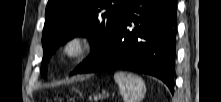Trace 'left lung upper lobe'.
Segmentation results:
<instances>
[{
  "mask_svg": "<svg viewBox=\"0 0 221 102\" xmlns=\"http://www.w3.org/2000/svg\"><path fill=\"white\" fill-rule=\"evenodd\" d=\"M128 0H49L42 33V74L54 51L75 36H86L92 53L75 70L82 68L111 36Z\"/></svg>",
  "mask_w": 221,
  "mask_h": 102,
  "instance_id": "left-lung-upper-lobe-1",
  "label": "left lung upper lobe"
}]
</instances>
